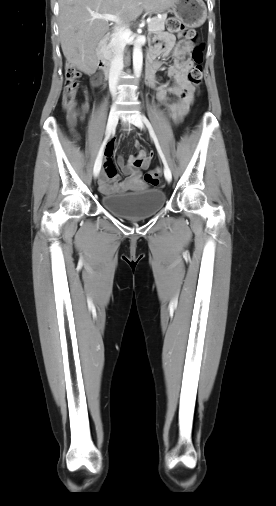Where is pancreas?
I'll list each match as a JSON object with an SVG mask.
<instances>
[{"mask_svg":"<svg viewBox=\"0 0 276 506\" xmlns=\"http://www.w3.org/2000/svg\"><path fill=\"white\" fill-rule=\"evenodd\" d=\"M165 20H166V15H162L161 18H158V17L152 18L151 22L148 24L149 33H156V32L163 31ZM113 51H114L113 47L111 46V44H109V46L107 48L108 54L111 55L113 53Z\"/></svg>","mask_w":276,"mask_h":506,"instance_id":"cf45deb5","label":"pancreas"}]
</instances>
